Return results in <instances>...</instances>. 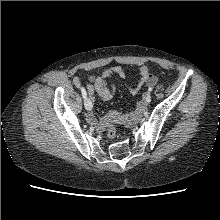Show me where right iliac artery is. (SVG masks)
I'll list each match as a JSON object with an SVG mask.
<instances>
[{
    "label": "right iliac artery",
    "instance_id": "right-iliac-artery-1",
    "mask_svg": "<svg viewBox=\"0 0 220 220\" xmlns=\"http://www.w3.org/2000/svg\"><path fill=\"white\" fill-rule=\"evenodd\" d=\"M80 90H81L83 98L86 99L87 98V93H86L85 88L84 87H80Z\"/></svg>",
    "mask_w": 220,
    "mask_h": 220
}]
</instances>
